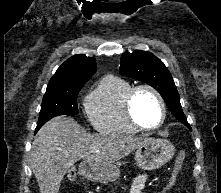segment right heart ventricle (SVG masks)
Segmentation results:
<instances>
[{
  "label": "right heart ventricle",
  "mask_w": 221,
  "mask_h": 193,
  "mask_svg": "<svg viewBox=\"0 0 221 193\" xmlns=\"http://www.w3.org/2000/svg\"><path fill=\"white\" fill-rule=\"evenodd\" d=\"M132 84L115 76H106L91 92L84 103L90 124L105 134H136L135 128L127 119L124 101Z\"/></svg>",
  "instance_id": "obj_1"
}]
</instances>
